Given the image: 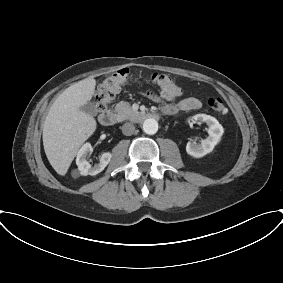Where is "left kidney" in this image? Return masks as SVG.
<instances>
[{"mask_svg":"<svg viewBox=\"0 0 283 283\" xmlns=\"http://www.w3.org/2000/svg\"><path fill=\"white\" fill-rule=\"evenodd\" d=\"M192 120L205 122L208 125V137L197 144L195 142H188L186 145V152L194 157L201 158L212 152L214 147L220 142L224 133L222 125L212 116L206 114H197L193 116ZM190 121V120H189Z\"/></svg>","mask_w":283,"mask_h":283,"instance_id":"5707ae66","label":"left kidney"}]
</instances>
